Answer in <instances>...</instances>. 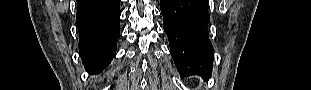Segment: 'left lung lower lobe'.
<instances>
[{
    "label": "left lung lower lobe",
    "instance_id": "left-lung-lower-lobe-1",
    "mask_svg": "<svg viewBox=\"0 0 311 90\" xmlns=\"http://www.w3.org/2000/svg\"><path fill=\"white\" fill-rule=\"evenodd\" d=\"M160 2L170 53L180 75L210 77L214 54L207 31L210 21L207 0Z\"/></svg>",
    "mask_w": 311,
    "mask_h": 90
}]
</instances>
